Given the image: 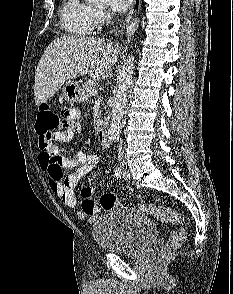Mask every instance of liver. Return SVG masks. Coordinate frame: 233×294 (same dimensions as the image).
<instances>
[{
  "instance_id": "6515ba94",
  "label": "liver",
  "mask_w": 233,
  "mask_h": 294,
  "mask_svg": "<svg viewBox=\"0 0 233 294\" xmlns=\"http://www.w3.org/2000/svg\"><path fill=\"white\" fill-rule=\"evenodd\" d=\"M118 54V47L103 38L63 36L53 40L36 69V105L46 102L67 80L87 73L91 77L106 75L118 60Z\"/></svg>"
}]
</instances>
